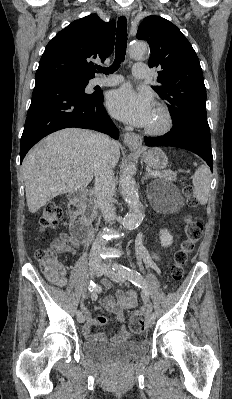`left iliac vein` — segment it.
I'll return each mask as SVG.
<instances>
[{
    "label": "left iliac vein",
    "instance_id": "obj_1",
    "mask_svg": "<svg viewBox=\"0 0 232 399\" xmlns=\"http://www.w3.org/2000/svg\"><path fill=\"white\" fill-rule=\"evenodd\" d=\"M93 272L96 275H105V277H108V279H112V283H122L123 279L121 277H117V274L115 272H111L108 269L107 265H100L99 268H94ZM147 327L152 328L154 327V320H147Z\"/></svg>",
    "mask_w": 232,
    "mask_h": 399
}]
</instances>
